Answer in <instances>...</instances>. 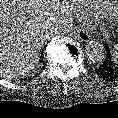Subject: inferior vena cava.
I'll list each match as a JSON object with an SVG mask.
<instances>
[{
  "instance_id": "602c4592",
  "label": "inferior vena cava",
  "mask_w": 118,
  "mask_h": 118,
  "mask_svg": "<svg viewBox=\"0 0 118 118\" xmlns=\"http://www.w3.org/2000/svg\"><path fill=\"white\" fill-rule=\"evenodd\" d=\"M61 28H62L61 26L53 25V26L51 27V30L56 33V32H59V30H60Z\"/></svg>"
}]
</instances>
